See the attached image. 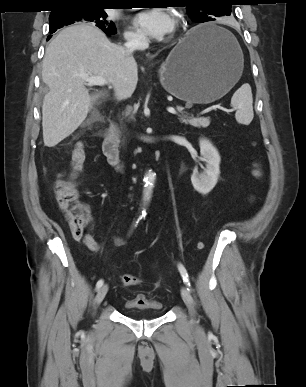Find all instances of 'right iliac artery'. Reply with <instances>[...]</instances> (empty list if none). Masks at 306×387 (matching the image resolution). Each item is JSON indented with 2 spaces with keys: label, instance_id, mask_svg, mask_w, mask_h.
I'll list each match as a JSON object with an SVG mask.
<instances>
[{
  "label": "right iliac artery",
  "instance_id": "82829eb1",
  "mask_svg": "<svg viewBox=\"0 0 306 387\" xmlns=\"http://www.w3.org/2000/svg\"><path fill=\"white\" fill-rule=\"evenodd\" d=\"M136 223H138V222H136ZM103 283H104V281H103L102 279L99 280V281L97 282V284H96V288L99 289V288L103 285Z\"/></svg>",
  "mask_w": 306,
  "mask_h": 387
}]
</instances>
